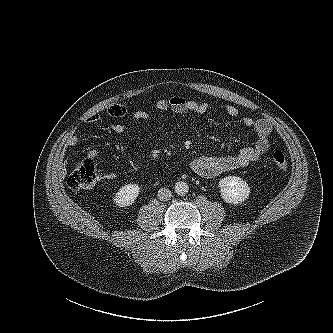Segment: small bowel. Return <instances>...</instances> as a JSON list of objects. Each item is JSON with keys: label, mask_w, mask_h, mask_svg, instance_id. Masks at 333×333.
Returning a JSON list of instances; mask_svg holds the SVG:
<instances>
[{"label": "small bowel", "mask_w": 333, "mask_h": 333, "mask_svg": "<svg viewBox=\"0 0 333 333\" xmlns=\"http://www.w3.org/2000/svg\"><path fill=\"white\" fill-rule=\"evenodd\" d=\"M156 108L161 112H173L176 114H184L190 116H201L209 112L210 106L206 102H197L186 99L182 96H172L167 99H160L155 103ZM225 113L232 117L239 116L237 107L226 104L224 106ZM108 114L112 117L121 118L128 113V108L125 104L111 105ZM132 117L135 120L147 121L150 119V114L143 110H136ZM100 120L98 114L91 115L87 118L89 123H96ZM243 124L250 129L255 135V142L251 146L243 148L237 155H225L218 157L200 156L190 162V169L198 176L203 178H213L225 172L244 168L253 162L258 161L265 155L270 147V134L272 131L271 124L266 119H256L250 116L243 118ZM113 133L120 134L126 131V126L122 123L115 122L110 125ZM79 143L76 135H70L66 141L67 146L75 147ZM92 156H96L97 152L92 151ZM116 174L109 172L105 175L106 179H114Z\"/></svg>", "instance_id": "obj_1"}]
</instances>
